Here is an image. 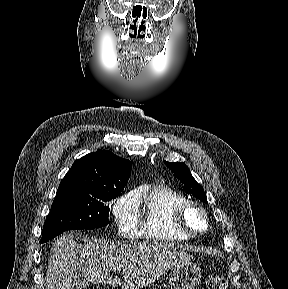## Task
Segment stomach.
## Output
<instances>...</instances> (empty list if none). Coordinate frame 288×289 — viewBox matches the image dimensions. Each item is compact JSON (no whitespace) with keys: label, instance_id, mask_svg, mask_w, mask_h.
I'll return each instance as SVG.
<instances>
[{"label":"stomach","instance_id":"1","mask_svg":"<svg viewBox=\"0 0 288 289\" xmlns=\"http://www.w3.org/2000/svg\"><path fill=\"white\" fill-rule=\"evenodd\" d=\"M201 278L200 267L188 262L174 268L170 278L171 289H196L201 282Z\"/></svg>","mask_w":288,"mask_h":289}]
</instances>
